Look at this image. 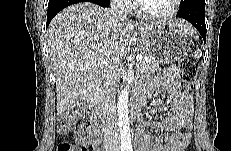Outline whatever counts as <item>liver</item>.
<instances>
[{
	"mask_svg": "<svg viewBox=\"0 0 231 151\" xmlns=\"http://www.w3.org/2000/svg\"><path fill=\"white\" fill-rule=\"evenodd\" d=\"M169 22L189 35L195 32L185 20ZM158 24H134L92 2H79L58 13L47 30V48L56 78L57 115L99 86L107 67L91 65L93 60L115 68L130 52L132 42L143 44L142 36Z\"/></svg>",
	"mask_w": 231,
	"mask_h": 151,
	"instance_id": "obj_1",
	"label": "liver"
}]
</instances>
